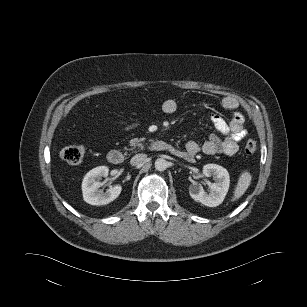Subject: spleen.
Returning <instances> with one entry per match:
<instances>
[{"label":"spleen","mask_w":307,"mask_h":307,"mask_svg":"<svg viewBox=\"0 0 307 307\" xmlns=\"http://www.w3.org/2000/svg\"><path fill=\"white\" fill-rule=\"evenodd\" d=\"M252 176L249 172L244 171L239 177L237 186L234 191V196L232 198V201H236L239 199L248 189L251 183Z\"/></svg>","instance_id":"1"}]
</instances>
